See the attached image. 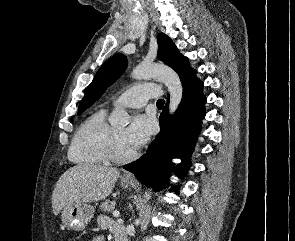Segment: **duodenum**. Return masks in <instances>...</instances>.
<instances>
[{
    "mask_svg": "<svg viewBox=\"0 0 295 241\" xmlns=\"http://www.w3.org/2000/svg\"><path fill=\"white\" fill-rule=\"evenodd\" d=\"M115 238H116V241H127V239H126V237H125L124 234H117L115 236Z\"/></svg>",
    "mask_w": 295,
    "mask_h": 241,
    "instance_id": "410a0bca",
    "label": "duodenum"
}]
</instances>
